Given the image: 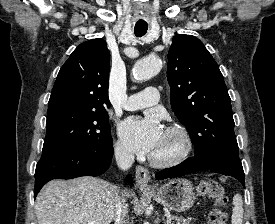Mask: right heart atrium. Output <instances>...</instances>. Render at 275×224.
<instances>
[{"instance_id": "right-heart-atrium-1", "label": "right heart atrium", "mask_w": 275, "mask_h": 224, "mask_svg": "<svg viewBox=\"0 0 275 224\" xmlns=\"http://www.w3.org/2000/svg\"><path fill=\"white\" fill-rule=\"evenodd\" d=\"M114 151H115V154L120 158H128L129 157V152L123 146V144L119 141L115 142Z\"/></svg>"}]
</instances>
